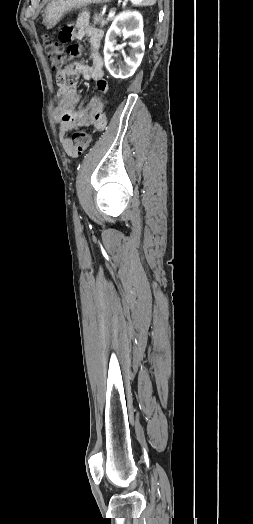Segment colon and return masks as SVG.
I'll return each mask as SVG.
<instances>
[{
    "mask_svg": "<svg viewBox=\"0 0 253 524\" xmlns=\"http://www.w3.org/2000/svg\"><path fill=\"white\" fill-rule=\"evenodd\" d=\"M44 45L46 53L51 62L52 69L54 71H60L63 64L66 62L67 56L65 55L64 45L61 44L59 37L58 39L46 36L44 38ZM72 143V155L78 156L83 154L89 147L90 136L84 130H77L73 133L71 138Z\"/></svg>",
    "mask_w": 253,
    "mask_h": 524,
    "instance_id": "colon-1",
    "label": "colon"
}]
</instances>
